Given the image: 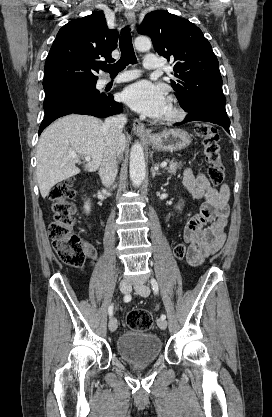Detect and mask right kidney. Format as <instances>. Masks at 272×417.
<instances>
[{
	"label": "right kidney",
	"mask_w": 272,
	"mask_h": 417,
	"mask_svg": "<svg viewBox=\"0 0 272 417\" xmlns=\"http://www.w3.org/2000/svg\"><path fill=\"white\" fill-rule=\"evenodd\" d=\"M84 209H85L86 212H89L90 211V204H89V202H86L85 203Z\"/></svg>",
	"instance_id": "right-kidney-1"
}]
</instances>
